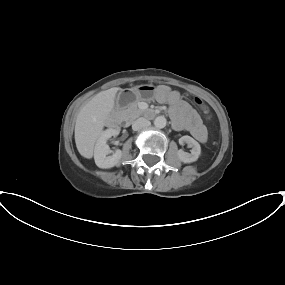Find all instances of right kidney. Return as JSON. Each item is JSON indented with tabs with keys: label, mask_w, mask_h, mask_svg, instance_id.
I'll use <instances>...</instances> for the list:
<instances>
[{
	"label": "right kidney",
	"mask_w": 285,
	"mask_h": 285,
	"mask_svg": "<svg viewBox=\"0 0 285 285\" xmlns=\"http://www.w3.org/2000/svg\"><path fill=\"white\" fill-rule=\"evenodd\" d=\"M119 134L118 129L109 128L102 132L98 138L95 148H94V160L95 164L99 168L107 169L118 165L121 162L122 151L117 149L113 155L107 156L111 153V150L107 144V140L112 136H117Z\"/></svg>",
	"instance_id": "right-kidney-1"
}]
</instances>
